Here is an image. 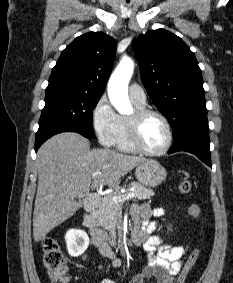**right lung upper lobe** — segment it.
<instances>
[{"label":"right lung upper lobe","instance_id":"1","mask_svg":"<svg viewBox=\"0 0 233 283\" xmlns=\"http://www.w3.org/2000/svg\"><path fill=\"white\" fill-rule=\"evenodd\" d=\"M115 50V39L103 32L77 37L62 51L48 86L101 95L112 70Z\"/></svg>","mask_w":233,"mask_h":283}]
</instances>
